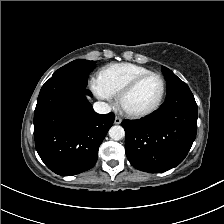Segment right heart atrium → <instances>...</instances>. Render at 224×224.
Instances as JSON below:
<instances>
[{"mask_svg":"<svg viewBox=\"0 0 224 224\" xmlns=\"http://www.w3.org/2000/svg\"><path fill=\"white\" fill-rule=\"evenodd\" d=\"M90 86H91L93 93L99 99H102L105 101H110L112 99V95L103 88L99 78H93L90 82Z\"/></svg>","mask_w":224,"mask_h":224,"instance_id":"1","label":"right heart atrium"}]
</instances>
